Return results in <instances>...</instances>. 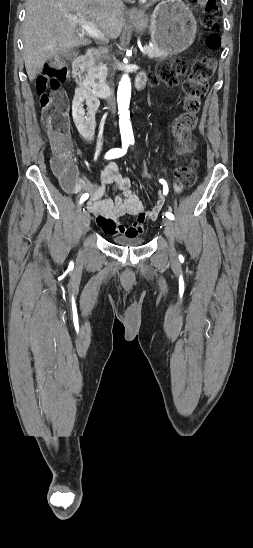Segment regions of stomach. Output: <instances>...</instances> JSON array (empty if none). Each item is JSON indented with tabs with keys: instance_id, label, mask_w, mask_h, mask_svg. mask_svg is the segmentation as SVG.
Wrapping results in <instances>:
<instances>
[{
	"instance_id": "obj_1",
	"label": "stomach",
	"mask_w": 253,
	"mask_h": 548,
	"mask_svg": "<svg viewBox=\"0 0 253 548\" xmlns=\"http://www.w3.org/2000/svg\"><path fill=\"white\" fill-rule=\"evenodd\" d=\"M131 23L140 34L148 30L153 44L170 54L188 49L197 30L191 10L181 0H164L150 17L141 14Z\"/></svg>"
}]
</instances>
